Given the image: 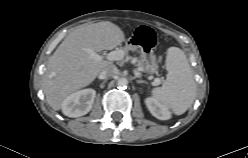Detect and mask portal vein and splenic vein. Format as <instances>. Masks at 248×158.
Here are the masks:
<instances>
[{"label": "portal vein and splenic vein", "instance_id": "18ae733b", "mask_svg": "<svg viewBox=\"0 0 248 158\" xmlns=\"http://www.w3.org/2000/svg\"><path fill=\"white\" fill-rule=\"evenodd\" d=\"M89 54H90V57L97 60V61H100V60H103V56L97 54L96 52H94L93 50L91 49H87L86 50ZM124 57V51L123 50H114V51H111L109 52L105 58L109 61H117V60H121L123 59ZM134 73L135 75H139L140 73L137 72L136 70H134ZM161 80L159 78H156L155 79V83L156 84H160Z\"/></svg>", "mask_w": 248, "mask_h": 158}]
</instances>
